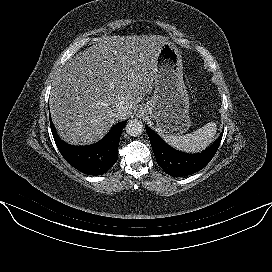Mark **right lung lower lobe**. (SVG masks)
I'll use <instances>...</instances> for the list:
<instances>
[{
	"label": "right lung lower lobe",
	"mask_w": 272,
	"mask_h": 272,
	"mask_svg": "<svg viewBox=\"0 0 272 272\" xmlns=\"http://www.w3.org/2000/svg\"><path fill=\"white\" fill-rule=\"evenodd\" d=\"M127 120L116 124L98 143L88 146H72L57 135L50 119L55 143L64 159L75 169L88 175H101L116 163L120 136Z\"/></svg>",
	"instance_id": "98d812e1"
}]
</instances>
